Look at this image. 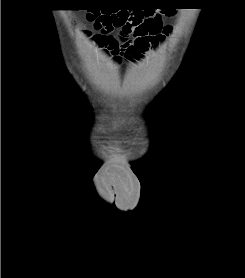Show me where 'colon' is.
<instances>
[{
	"label": "colon",
	"instance_id": "1",
	"mask_svg": "<svg viewBox=\"0 0 245 278\" xmlns=\"http://www.w3.org/2000/svg\"><path fill=\"white\" fill-rule=\"evenodd\" d=\"M94 29L101 36L118 31L122 39L134 36L143 43L153 40L154 44L158 43L160 36L168 32L160 18L149 9H136L128 13L99 14L94 19Z\"/></svg>",
	"mask_w": 245,
	"mask_h": 278
}]
</instances>
